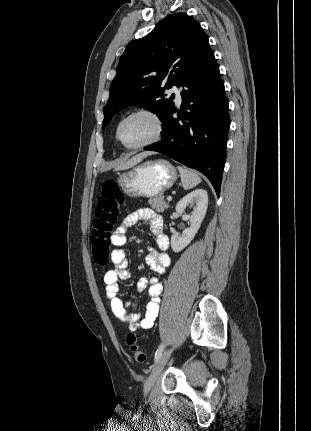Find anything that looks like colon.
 <instances>
[{"mask_svg": "<svg viewBox=\"0 0 311 431\" xmlns=\"http://www.w3.org/2000/svg\"><path fill=\"white\" fill-rule=\"evenodd\" d=\"M123 201L124 194L118 181L114 179L105 180L97 201L90 239L94 260L99 265H105L109 260L112 231ZM126 342L130 347L133 360L136 363H144L146 356L140 349L136 335L128 334Z\"/></svg>", "mask_w": 311, "mask_h": 431, "instance_id": "colon-1", "label": "colon"}]
</instances>
